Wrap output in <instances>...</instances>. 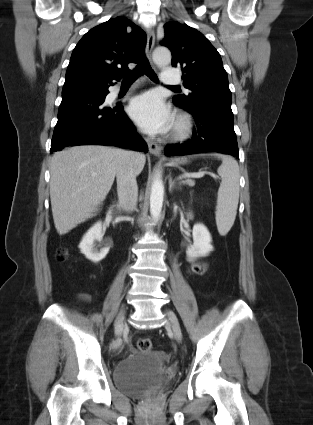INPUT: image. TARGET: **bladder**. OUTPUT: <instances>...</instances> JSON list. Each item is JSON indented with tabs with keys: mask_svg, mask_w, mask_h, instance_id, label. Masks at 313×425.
<instances>
[{
	"mask_svg": "<svg viewBox=\"0 0 313 425\" xmlns=\"http://www.w3.org/2000/svg\"><path fill=\"white\" fill-rule=\"evenodd\" d=\"M166 361L162 351L128 355L115 366L116 388L134 397H143L162 390L167 384Z\"/></svg>",
	"mask_w": 313,
	"mask_h": 425,
	"instance_id": "1",
	"label": "bladder"
}]
</instances>
